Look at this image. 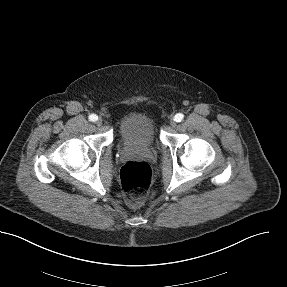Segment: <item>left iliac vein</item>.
<instances>
[{"instance_id":"4c4485c4","label":"left iliac vein","mask_w":287,"mask_h":287,"mask_svg":"<svg viewBox=\"0 0 287 287\" xmlns=\"http://www.w3.org/2000/svg\"><path fill=\"white\" fill-rule=\"evenodd\" d=\"M176 122H175V120L174 119H172L171 121H170V125H171V127H175L176 126Z\"/></svg>"}]
</instances>
